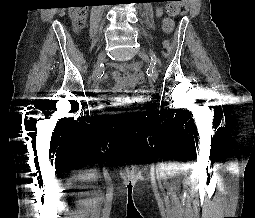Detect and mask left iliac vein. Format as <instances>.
<instances>
[{
	"label": "left iliac vein",
	"instance_id": "left-iliac-vein-1",
	"mask_svg": "<svg viewBox=\"0 0 255 218\" xmlns=\"http://www.w3.org/2000/svg\"><path fill=\"white\" fill-rule=\"evenodd\" d=\"M138 55L145 62L150 64V69H151V72H152L150 80H151V82H155L156 79L158 78V70H157L156 66L150 61V58H149L148 54L145 51H143V50L139 51Z\"/></svg>",
	"mask_w": 255,
	"mask_h": 218
}]
</instances>
